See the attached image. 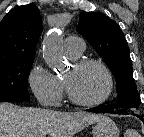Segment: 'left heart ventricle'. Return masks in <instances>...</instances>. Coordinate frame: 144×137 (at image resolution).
<instances>
[{"label": "left heart ventricle", "instance_id": "left-heart-ventricle-1", "mask_svg": "<svg viewBox=\"0 0 144 137\" xmlns=\"http://www.w3.org/2000/svg\"><path fill=\"white\" fill-rule=\"evenodd\" d=\"M74 96L82 101L99 99L106 91L107 80L103 71L94 65L80 69L72 66L64 75Z\"/></svg>", "mask_w": 144, "mask_h": 137}]
</instances>
